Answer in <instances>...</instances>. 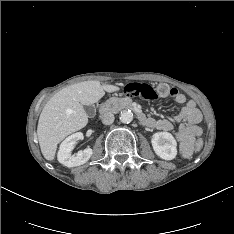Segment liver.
<instances>
[{
  "label": "liver",
  "mask_w": 234,
  "mask_h": 234,
  "mask_svg": "<svg viewBox=\"0 0 234 234\" xmlns=\"http://www.w3.org/2000/svg\"><path fill=\"white\" fill-rule=\"evenodd\" d=\"M119 87L99 81L73 84L55 94L44 106L38 121L37 135L45 159L54 160L57 145L68 135L84 128L88 115L84 105L98 102L106 92Z\"/></svg>",
  "instance_id": "1"
}]
</instances>
